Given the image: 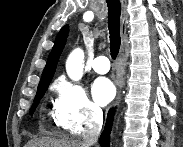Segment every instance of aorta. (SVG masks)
Masks as SVG:
<instances>
[{"label": "aorta", "mask_w": 183, "mask_h": 147, "mask_svg": "<svg viewBox=\"0 0 183 147\" xmlns=\"http://www.w3.org/2000/svg\"><path fill=\"white\" fill-rule=\"evenodd\" d=\"M84 68V52L77 48L71 52L66 61V72L73 81L82 78Z\"/></svg>", "instance_id": "obj_1"}]
</instances>
